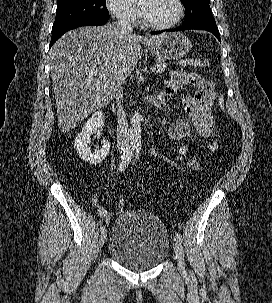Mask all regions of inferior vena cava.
I'll return each mask as SVG.
<instances>
[{"mask_svg":"<svg viewBox=\"0 0 272 303\" xmlns=\"http://www.w3.org/2000/svg\"><path fill=\"white\" fill-rule=\"evenodd\" d=\"M116 24L119 26L122 34H132L133 27L131 20L128 18H120ZM125 83L124 76L120 73L117 77V86L115 89V99L117 103V144L118 150L122 157H127L130 145L129 126L126 120V114L123 110L121 100L123 98L122 84Z\"/></svg>","mask_w":272,"mask_h":303,"instance_id":"602c4592","label":"inferior vena cava"}]
</instances>
